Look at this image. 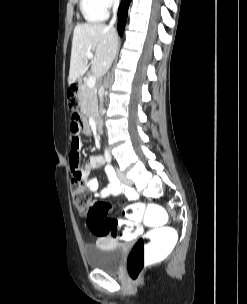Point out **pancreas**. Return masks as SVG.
Listing matches in <instances>:
<instances>
[{"label": "pancreas", "mask_w": 247, "mask_h": 304, "mask_svg": "<svg viewBox=\"0 0 247 304\" xmlns=\"http://www.w3.org/2000/svg\"><path fill=\"white\" fill-rule=\"evenodd\" d=\"M82 89L78 91L80 106L86 115H95L97 112V91L88 87L87 82H83Z\"/></svg>", "instance_id": "pancreas-1"}]
</instances>
